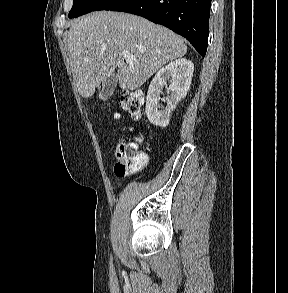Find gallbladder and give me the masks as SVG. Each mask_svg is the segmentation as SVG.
I'll return each instance as SVG.
<instances>
[{
  "instance_id": "obj_1",
  "label": "gallbladder",
  "mask_w": 288,
  "mask_h": 293,
  "mask_svg": "<svg viewBox=\"0 0 288 293\" xmlns=\"http://www.w3.org/2000/svg\"><path fill=\"white\" fill-rule=\"evenodd\" d=\"M116 85H117V77H116V74L113 73L110 77H108L102 83V87L99 92V98L104 101L107 100L113 94Z\"/></svg>"
}]
</instances>
